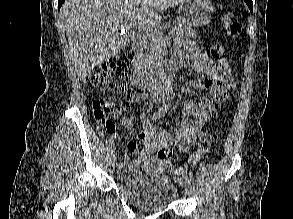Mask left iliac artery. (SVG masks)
Instances as JSON below:
<instances>
[{
    "label": "left iliac artery",
    "instance_id": "left-iliac-artery-1",
    "mask_svg": "<svg viewBox=\"0 0 293 219\" xmlns=\"http://www.w3.org/2000/svg\"><path fill=\"white\" fill-rule=\"evenodd\" d=\"M189 178H190V185L193 186L194 185V179H193V174H192L191 171H189Z\"/></svg>",
    "mask_w": 293,
    "mask_h": 219
}]
</instances>
